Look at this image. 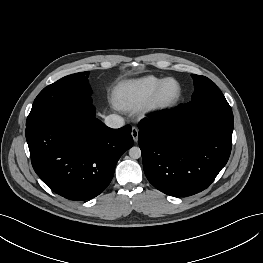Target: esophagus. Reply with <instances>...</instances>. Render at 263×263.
<instances>
[{
  "mask_svg": "<svg viewBox=\"0 0 263 263\" xmlns=\"http://www.w3.org/2000/svg\"><path fill=\"white\" fill-rule=\"evenodd\" d=\"M138 128L137 127H132V130H131V135H132V138L134 140V142H137L138 141Z\"/></svg>",
  "mask_w": 263,
  "mask_h": 263,
  "instance_id": "obj_1",
  "label": "esophagus"
}]
</instances>
